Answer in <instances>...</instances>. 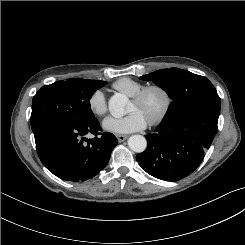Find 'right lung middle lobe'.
Here are the masks:
<instances>
[{"label":"right lung middle lobe","instance_id":"1","mask_svg":"<svg viewBox=\"0 0 245 245\" xmlns=\"http://www.w3.org/2000/svg\"><path fill=\"white\" fill-rule=\"evenodd\" d=\"M106 83L76 78L43 86L33 97L30 117L32 130L48 120L67 124L92 122L96 118L90 107V99Z\"/></svg>","mask_w":245,"mask_h":245}]
</instances>
